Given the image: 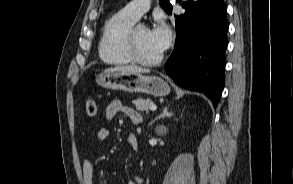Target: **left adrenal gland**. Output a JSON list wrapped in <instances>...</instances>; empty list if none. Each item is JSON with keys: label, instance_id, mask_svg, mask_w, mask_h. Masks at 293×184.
Instances as JSON below:
<instances>
[{"label": "left adrenal gland", "instance_id": "1", "mask_svg": "<svg viewBox=\"0 0 293 184\" xmlns=\"http://www.w3.org/2000/svg\"><path fill=\"white\" fill-rule=\"evenodd\" d=\"M172 115H173V113L168 111V107H165L163 109L162 113L160 115H158L157 117H155L149 125L151 126L158 119L165 118V117H171Z\"/></svg>", "mask_w": 293, "mask_h": 184}]
</instances>
